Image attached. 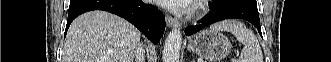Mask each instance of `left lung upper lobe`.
Masks as SVG:
<instances>
[{"mask_svg": "<svg viewBox=\"0 0 331 62\" xmlns=\"http://www.w3.org/2000/svg\"><path fill=\"white\" fill-rule=\"evenodd\" d=\"M226 1H228V0H213V3L220 4V3H223V2H226ZM249 1L256 3V0H249Z\"/></svg>", "mask_w": 331, "mask_h": 62, "instance_id": "5c2ea615", "label": "left lung upper lobe"}]
</instances>
